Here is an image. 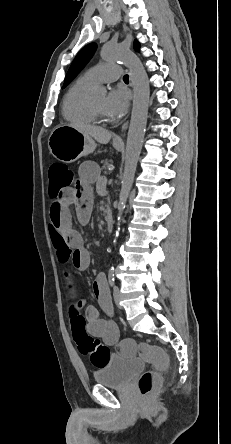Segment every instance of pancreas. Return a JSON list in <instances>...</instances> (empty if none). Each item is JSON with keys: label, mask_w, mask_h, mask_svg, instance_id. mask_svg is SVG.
I'll return each mask as SVG.
<instances>
[{"label": "pancreas", "mask_w": 231, "mask_h": 444, "mask_svg": "<svg viewBox=\"0 0 231 444\" xmlns=\"http://www.w3.org/2000/svg\"><path fill=\"white\" fill-rule=\"evenodd\" d=\"M102 164H103L102 169L105 171H107L110 167L113 166L112 161H109V160L102 161Z\"/></svg>", "instance_id": "obj_1"}]
</instances>
